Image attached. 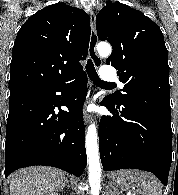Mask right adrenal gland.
Returning a JSON list of instances; mask_svg holds the SVG:
<instances>
[{"instance_id": "2a0ac1e0", "label": "right adrenal gland", "mask_w": 178, "mask_h": 195, "mask_svg": "<svg viewBox=\"0 0 178 195\" xmlns=\"http://www.w3.org/2000/svg\"><path fill=\"white\" fill-rule=\"evenodd\" d=\"M65 187L69 188V182H68L67 178L65 180V184L61 186L60 190L63 191Z\"/></svg>"}]
</instances>
